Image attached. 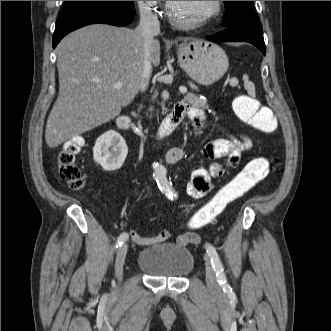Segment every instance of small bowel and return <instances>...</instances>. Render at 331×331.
<instances>
[{
    "instance_id": "1",
    "label": "small bowel",
    "mask_w": 331,
    "mask_h": 331,
    "mask_svg": "<svg viewBox=\"0 0 331 331\" xmlns=\"http://www.w3.org/2000/svg\"><path fill=\"white\" fill-rule=\"evenodd\" d=\"M176 106L184 111L191 120L194 132L197 136L202 134L206 127L205 113L201 108L188 105L186 102H180ZM251 147V141L241 136L235 138L232 136L221 137L207 143L202 149V155L205 159L212 161L208 168L197 166L193 169L191 179L187 183L186 189L190 196L194 198H203L212 189V179L224 178L230 175L231 171L236 169L241 161L242 153ZM185 151L183 148L174 147L168 150L166 161L173 165L181 161ZM226 158L227 164L217 162L216 160ZM133 243L138 245L160 243L169 238V233L163 231L155 237L145 238L132 232L130 234ZM184 245L181 239L178 241Z\"/></svg>"
}]
</instances>
